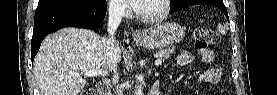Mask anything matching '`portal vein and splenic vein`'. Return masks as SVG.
Here are the masks:
<instances>
[{"mask_svg":"<svg viewBox=\"0 0 277 95\" xmlns=\"http://www.w3.org/2000/svg\"><path fill=\"white\" fill-rule=\"evenodd\" d=\"M162 64V60L160 58H157L155 60V65L159 66ZM107 71L106 70H102V69H95V70H91V71H87L84 72L83 75L85 77H93V76H106L107 75ZM76 76H79L80 74L75 73Z\"/></svg>","mask_w":277,"mask_h":95,"instance_id":"1","label":"portal vein and splenic vein"}]
</instances>
